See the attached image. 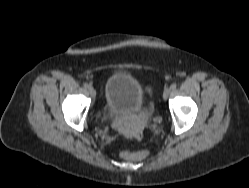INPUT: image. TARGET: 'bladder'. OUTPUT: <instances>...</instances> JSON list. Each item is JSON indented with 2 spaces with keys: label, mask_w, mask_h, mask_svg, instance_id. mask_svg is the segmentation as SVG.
<instances>
[{
  "label": "bladder",
  "mask_w": 249,
  "mask_h": 188,
  "mask_svg": "<svg viewBox=\"0 0 249 188\" xmlns=\"http://www.w3.org/2000/svg\"><path fill=\"white\" fill-rule=\"evenodd\" d=\"M147 92L141 82L129 73L117 71L111 74L104 90V101L110 114L138 111L147 115Z\"/></svg>",
  "instance_id": "1"
}]
</instances>
